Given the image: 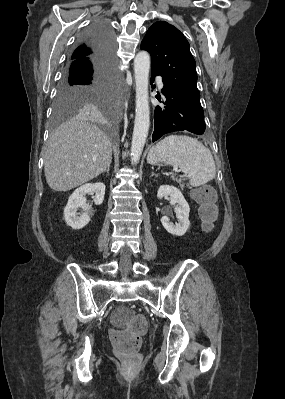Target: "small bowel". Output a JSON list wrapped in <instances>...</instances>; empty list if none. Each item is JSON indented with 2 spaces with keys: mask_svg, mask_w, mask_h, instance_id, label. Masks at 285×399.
Instances as JSON below:
<instances>
[{
  "mask_svg": "<svg viewBox=\"0 0 285 399\" xmlns=\"http://www.w3.org/2000/svg\"><path fill=\"white\" fill-rule=\"evenodd\" d=\"M208 189H209V191H211L212 193H213V190H212V188H210V187H207Z\"/></svg>",
  "mask_w": 285,
  "mask_h": 399,
  "instance_id": "c3829d8e",
  "label": "small bowel"
}]
</instances>
